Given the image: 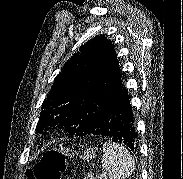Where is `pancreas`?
I'll use <instances>...</instances> for the list:
<instances>
[{
	"mask_svg": "<svg viewBox=\"0 0 183 179\" xmlns=\"http://www.w3.org/2000/svg\"><path fill=\"white\" fill-rule=\"evenodd\" d=\"M84 179H107L106 176H93L90 174H87Z\"/></svg>",
	"mask_w": 183,
	"mask_h": 179,
	"instance_id": "1",
	"label": "pancreas"
}]
</instances>
